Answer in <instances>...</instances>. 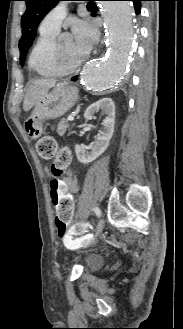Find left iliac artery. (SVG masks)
I'll list each match as a JSON object with an SVG mask.
<instances>
[{
  "label": "left iliac artery",
  "instance_id": "left-iliac-artery-1",
  "mask_svg": "<svg viewBox=\"0 0 183 329\" xmlns=\"http://www.w3.org/2000/svg\"><path fill=\"white\" fill-rule=\"evenodd\" d=\"M94 213L96 214L97 217L101 216V210L98 207L93 208Z\"/></svg>",
  "mask_w": 183,
  "mask_h": 329
}]
</instances>
